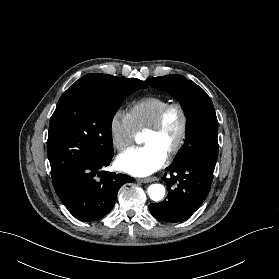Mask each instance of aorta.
I'll return each mask as SVG.
<instances>
[{
	"mask_svg": "<svg viewBox=\"0 0 279 279\" xmlns=\"http://www.w3.org/2000/svg\"><path fill=\"white\" fill-rule=\"evenodd\" d=\"M147 191L150 199L153 201H160L165 196V188L161 184H151Z\"/></svg>",
	"mask_w": 279,
	"mask_h": 279,
	"instance_id": "obj_1",
	"label": "aorta"
}]
</instances>
